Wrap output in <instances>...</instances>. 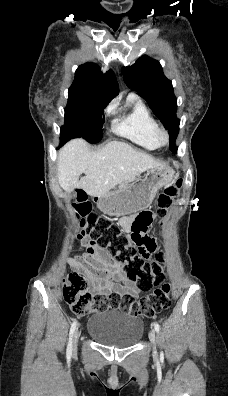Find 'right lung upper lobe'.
Here are the masks:
<instances>
[{
  "label": "right lung upper lobe",
  "instance_id": "obj_1",
  "mask_svg": "<svg viewBox=\"0 0 228 396\" xmlns=\"http://www.w3.org/2000/svg\"><path fill=\"white\" fill-rule=\"evenodd\" d=\"M70 91L86 92L109 102L119 93V87L113 71L105 74L98 65L86 63L78 67Z\"/></svg>",
  "mask_w": 228,
  "mask_h": 396
}]
</instances>
